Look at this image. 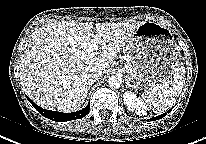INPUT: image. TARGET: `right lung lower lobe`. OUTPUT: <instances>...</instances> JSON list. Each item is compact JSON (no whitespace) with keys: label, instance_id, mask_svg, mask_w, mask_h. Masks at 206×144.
Instances as JSON below:
<instances>
[{"label":"right lung lower lobe","instance_id":"obj_1","mask_svg":"<svg viewBox=\"0 0 206 144\" xmlns=\"http://www.w3.org/2000/svg\"><path fill=\"white\" fill-rule=\"evenodd\" d=\"M31 104L33 105V107L44 117L51 119L53 121H70V120H75V119H80L84 116H86L89 113L90 110V102L88 103V105L77 112H73V113H62V112H57V111H50V110H46L43 109L41 107H39L38 105H36L34 102H32L29 98H27Z\"/></svg>","mask_w":206,"mask_h":144}]
</instances>
